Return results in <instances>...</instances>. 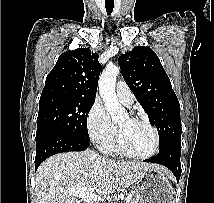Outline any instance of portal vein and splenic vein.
Here are the masks:
<instances>
[{
	"label": "portal vein and splenic vein",
	"instance_id": "1",
	"mask_svg": "<svg viewBox=\"0 0 214 203\" xmlns=\"http://www.w3.org/2000/svg\"><path fill=\"white\" fill-rule=\"evenodd\" d=\"M94 188H72L69 192L76 197L82 198L85 203H99L104 201L101 196L94 194Z\"/></svg>",
	"mask_w": 214,
	"mask_h": 203
}]
</instances>
